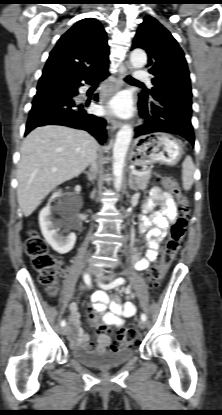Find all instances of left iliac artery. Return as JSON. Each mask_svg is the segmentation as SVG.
I'll list each match as a JSON object with an SVG mask.
<instances>
[{
	"mask_svg": "<svg viewBox=\"0 0 222 415\" xmlns=\"http://www.w3.org/2000/svg\"><path fill=\"white\" fill-rule=\"evenodd\" d=\"M124 283V279L119 277L117 279H115L114 281H112L111 283H109L108 285H104V284H100V286L104 289H112L118 285H121ZM141 320L146 321L147 320V316L145 314H141Z\"/></svg>",
	"mask_w": 222,
	"mask_h": 415,
	"instance_id": "obj_1",
	"label": "left iliac artery"
}]
</instances>
